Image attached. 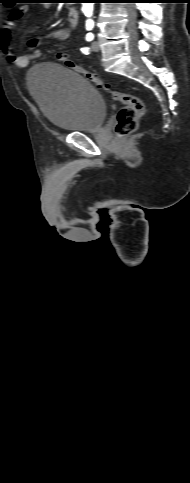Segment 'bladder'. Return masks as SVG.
Here are the masks:
<instances>
[{
	"label": "bladder",
	"instance_id": "1",
	"mask_svg": "<svg viewBox=\"0 0 190 483\" xmlns=\"http://www.w3.org/2000/svg\"><path fill=\"white\" fill-rule=\"evenodd\" d=\"M27 84L52 125L72 132L97 131L103 125L107 111L103 97L74 70L41 63L30 70Z\"/></svg>",
	"mask_w": 190,
	"mask_h": 483
}]
</instances>
